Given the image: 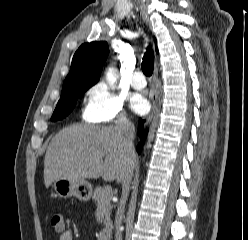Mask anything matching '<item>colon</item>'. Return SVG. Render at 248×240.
I'll use <instances>...</instances> for the list:
<instances>
[{
  "label": "colon",
  "instance_id": "obj_1",
  "mask_svg": "<svg viewBox=\"0 0 248 240\" xmlns=\"http://www.w3.org/2000/svg\"><path fill=\"white\" fill-rule=\"evenodd\" d=\"M51 227L58 233L64 232V217L62 214H54L50 218Z\"/></svg>",
  "mask_w": 248,
  "mask_h": 240
}]
</instances>
